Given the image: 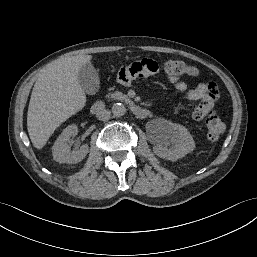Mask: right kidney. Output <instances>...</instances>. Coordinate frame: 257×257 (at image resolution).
I'll return each mask as SVG.
<instances>
[{"label":"right kidney","mask_w":257,"mask_h":257,"mask_svg":"<svg viewBox=\"0 0 257 257\" xmlns=\"http://www.w3.org/2000/svg\"><path fill=\"white\" fill-rule=\"evenodd\" d=\"M78 127L75 124L66 127L52 147L53 159L59 163L74 164L85 158L89 151L87 144L82 145L78 150H70V138L76 136Z\"/></svg>","instance_id":"1"}]
</instances>
